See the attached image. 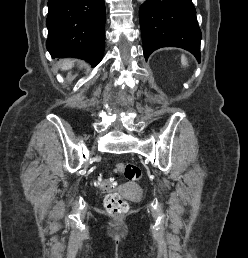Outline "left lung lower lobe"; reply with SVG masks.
<instances>
[{
  "label": "left lung lower lobe",
  "mask_w": 248,
  "mask_h": 258,
  "mask_svg": "<svg viewBox=\"0 0 248 258\" xmlns=\"http://www.w3.org/2000/svg\"><path fill=\"white\" fill-rule=\"evenodd\" d=\"M144 57L162 47H179L200 61L201 31L192 0H146L139 9Z\"/></svg>",
  "instance_id": "left-lung-lower-lobe-1"
}]
</instances>
